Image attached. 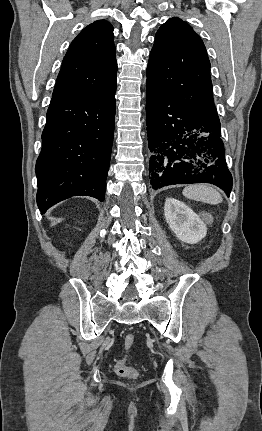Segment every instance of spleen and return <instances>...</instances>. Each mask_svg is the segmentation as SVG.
<instances>
[{"instance_id":"obj_1","label":"spleen","mask_w":262,"mask_h":431,"mask_svg":"<svg viewBox=\"0 0 262 431\" xmlns=\"http://www.w3.org/2000/svg\"><path fill=\"white\" fill-rule=\"evenodd\" d=\"M183 195L191 200L216 205L222 203L220 193L206 184L189 185L183 189Z\"/></svg>"}]
</instances>
